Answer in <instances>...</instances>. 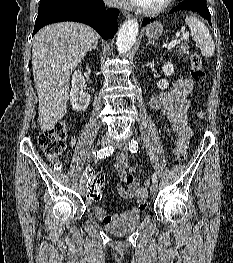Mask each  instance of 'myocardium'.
Returning a JSON list of instances; mask_svg holds the SVG:
<instances>
[{
  "mask_svg": "<svg viewBox=\"0 0 233 263\" xmlns=\"http://www.w3.org/2000/svg\"><path fill=\"white\" fill-rule=\"evenodd\" d=\"M173 0H164L159 6L153 8H146L136 5V9L145 15H157L164 12L172 4Z\"/></svg>",
  "mask_w": 233,
  "mask_h": 263,
  "instance_id": "obj_1",
  "label": "myocardium"
}]
</instances>
